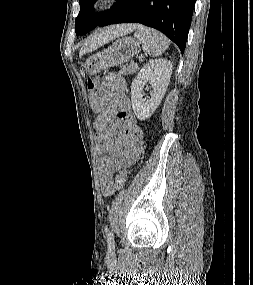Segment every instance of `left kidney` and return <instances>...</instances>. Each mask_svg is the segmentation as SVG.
Here are the masks:
<instances>
[{"instance_id":"left-kidney-1","label":"left kidney","mask_w":253,"mask_h":285,"mask_svg":"<svg viewBox=\"0 0 253 285\" xmlns=\"http://www.w3.org/2000/svg\"><path fill=\"white\" fill-rule=\"evenodd\" d=\"M172 74V63L167 59H155L146 63L131 85L132 108L140 120L148 119L161 103ZM149 82L153 91L151 98L144 99L142 92Z\"/></svg>"}]
</instances>
